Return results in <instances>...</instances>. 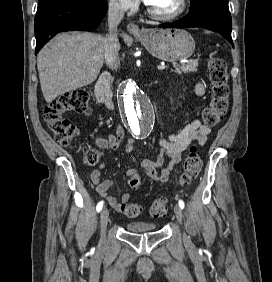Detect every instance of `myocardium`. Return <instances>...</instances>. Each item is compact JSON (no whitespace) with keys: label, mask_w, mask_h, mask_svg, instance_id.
Masks as SVG:
<instances>
[{"label":"myocardium","mask_w":272,"mask_h":282,"mask_svg":"<svg viewBox=\"0 0 272 282\" xmlns=\"http://www.w3.org/2000/svg\"><path fill=\"white\" fill-rule=\"evenodd\" d=\"M187 8H188V0H180V8L174 13H171V14L158 13V12L152 10L149 6L147 7V12L149 13L150 16H152L153 18H156V19L175 20V19L181 17L182 15H184Z\"/></svg>","instance_id":"obj_1"}]
</instances>
